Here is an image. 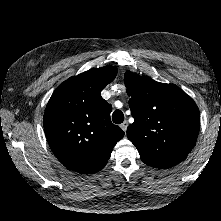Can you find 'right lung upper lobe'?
<instances>
[{"instance_id":"1","label":"right lung upper lobe","mask_w":221,"mask_h":221,"mask_svg":"<svg viewBox=\"0 0 221 221\" xmlns=\"http://www.w3.org/2000/svg\"><path fill=\"white\" fill-rule=\"evenodd\" d=\"M116 75L114 66L90 69L53 92L43 117L44 130L54 155L68 169L98 172L124 136L110 120L112 106L100 94Z\"/></svg>"}]
</instances>
